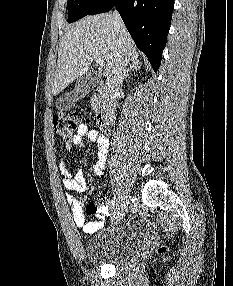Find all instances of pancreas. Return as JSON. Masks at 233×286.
<instances>
[{
  "label": "pancreas",
  "instance_id": "cf45deb5",
  "mask_svg": "<svg viewBox=\"0 0 233 286\" xmlns=\"http://www.w3.org/2000/svg\"><path fill=\"white\" fill-rule=\"evenodd\" d=\"M91 106H92L93 109L97 108V104L95 103L94 99L91 102Z\"/></svg>",
  "mask_w": 233,
  "mask_h": 286
}]
</instances>
